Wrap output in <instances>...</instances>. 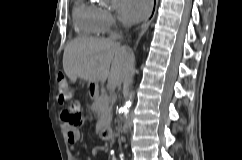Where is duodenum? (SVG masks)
I'll use <instances>...</instances> for the list:
<instances>
[{
	"label": "duodenum",
	"mask_w": 242,
	"mask_h": 160,
	"mask_svg": "<svg viewBox=\"0 0 242 160\" xmlns=\"http://www.w3.org/2000/svg\"><path fill=\"white\" fill-rule=\"evenodd\" d=\"M99 136L102 140L104 141H107L110 139V136H111V129L109 127H106V128H102L100 131H99Z\"/></svg>",
	"instance_id": "410a0bca"
}]
</instances>
